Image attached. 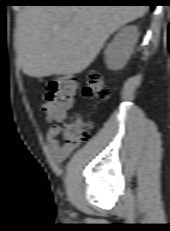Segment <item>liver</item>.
Wrapping results in <instances>:
<instances>
[{
  "label": "liver",
  "instance_id": "6515ba94",
  "mask_svg": "<svg viewBox=\"0 0 170 231\" xmlns=\"http://www.w3.org/2000/svg\"><path fill=\"white\" fill-rule=\"evenodd\" d=\"M147 10L137 5L25 6L17 17V63L36 78L80 73L111 34Z\"/></svg>",
  "mask_w": 170,
  "mask_h": 231
}]
</instances>
